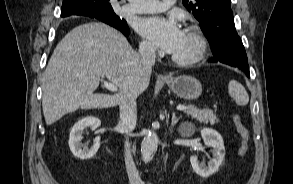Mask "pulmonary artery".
<instances>
[{
    "label": "pulmonary artery",
    "mask_w": 293,
    "mask_h": 184,
    "mask_svg": "<svg viewBox=\"0 0 293 184\" xmlns=\"http://www.w3.org/2000/svg\"><path fill=\"white\" fill-rule=\"evenodd\" d=\"M176 0H131L123 7L125 14L158 13L175 4Z\"/></svg>",
    "instance_id": "obj_1"
}]
</instances>
